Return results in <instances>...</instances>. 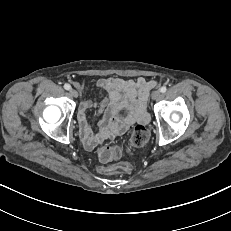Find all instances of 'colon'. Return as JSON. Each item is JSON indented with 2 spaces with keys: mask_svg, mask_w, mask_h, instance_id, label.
Wrapping results in <instances>:
<instances>
[{
  "mask_svg": "<svg viewBox=\"0 0 231 231\" xmlns=\"http://www.w3.org/2000/svg\"><path fill=\"white\" fill-rule=\"evenodd\" d=\"M149 139V131L144 125H137L130 138L133 147L144 146ZM121 155V150L115 145H103L98 150V157L102 163H108L116 160ZM99 171L104 174H128L132 171L133 166L130 162H122L113 165H101Z\"/></svg>",
  "mask_w": 231,
  "mask_h": 231,
  "instance_id": "1",
  "label": "colon"
}]
</instances>
